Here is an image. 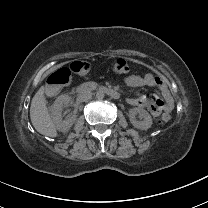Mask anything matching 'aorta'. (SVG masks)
<instances>
[{
	"label": "aorta",
	"instance_id": "1",
	"mask_svg": "<svg viewBox=\"0 0 208 208\" xmlns=\"http://www.w3.org/2000/svg\"><path fill=\"white\" fill-rule=\"evenodd\" d=\"M96 98L97 99H103L104 98V92L103 91H98L96 93Z\"/></svg>",
	"mask_w": 208,
	"mask_h": 208
}]
</instances>
